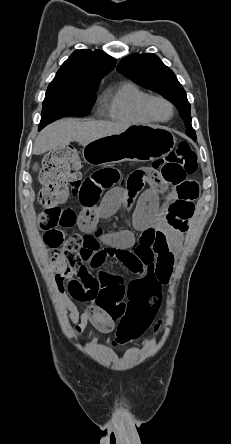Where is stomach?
I'll list each match as a JSON object with an SVG mask.
<instances>
[{"mask_svg":"<svg viewBox=\"0 0 231 444\" xmlns=\"http://www.w3.org/2000/svg\"><path fill=\"white\" fill-rule=\"evenodd\" d=\"M176 144L173 133L165 127L135 124L119 134L90 142L83 148L85 162L92 165L123 161H150L168 155Z\"/></svg>","mask_w":231,"mask_h":444,"instance_id":"0dacf381","label":"stomach"}]
</instances>
